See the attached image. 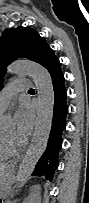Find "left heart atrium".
I'll return each mask as SVG.
<instances>
[{"instance_id": "39dd6f15", "label": "left heart atrium", "mask_w": 89, "mask_h": 203, "mask_svg": "<svg viewBox=\"0 0 89 203\" xmlns=\"http://www.w3.org/2000/svg\"><path fill=\"white\" fill-rule=\"evenodd\" d=\"M16 122V136L24 143L32 132L34 126L33 114L28 110V108L22 105L15 113Z\"/></svg>"}]
</instances>
